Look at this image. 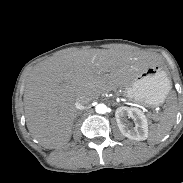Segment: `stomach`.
Returning a JSON list of instances; mask_svg holds the SVG:
<instances>
[{"instance_id": "stomach-1", "label": "stomach", "mask_w": 183, "mask_h": 183, "mask_svg": "<svg viewBox=\"0 0 183 183\" xmlns=\"http://www.w3.org/2000/svg\"><path fill=\"white\" fill-rule=\"evenodd\" d=\"M123 89L128 98L155 107L165 101L171 82L162 69L152 66L135 74Z\"/></svg>"}]
</instances>
